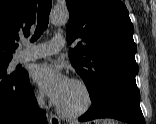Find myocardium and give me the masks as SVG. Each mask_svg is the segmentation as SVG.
<instances>
[{"instance_id": "1", "label": "myocardium", "mask_w": 156, "mask_h": 124, "mask_svg": "<svg viewBox=\"0 0 156 124\" xmlns=\"http://www.w3.org/2000/svg\"><path fill=\"white\" fill-rule=\"evenodd\" d=\"M71 81L83 91L85 96L84 105L78 110L70 112L64 110L57 104L56 110L58 114L65 119H78L91 111L94 105V96L90 87L84 81L80 79H72Z\"/></svg>"}]
</instances>
